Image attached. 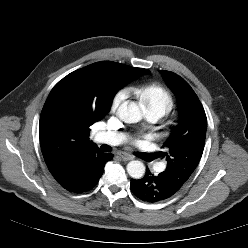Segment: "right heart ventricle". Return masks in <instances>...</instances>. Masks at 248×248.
<instances>
[{"instance_id": "1", "label": "right heart ventricle", "mask_w": 248, "mask_h": 248, "mask_svg": "<svg viewBox=\"0 0 248 248\" xmlns=\"http://www.w3.org/2000/svg\"><path fill=\"white\" fill-rule=\"evenodd\" d=\"M132 91L147 113H155L162 117L174 107L173 95L160 84H142L134 87Z\"/></svg>"}]
</instances>
